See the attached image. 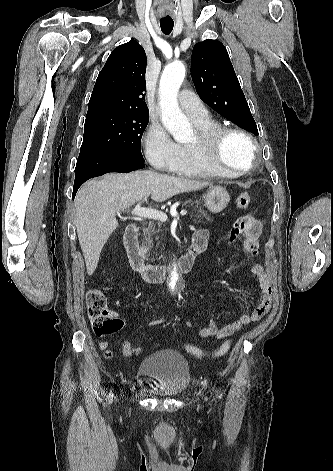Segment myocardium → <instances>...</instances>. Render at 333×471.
Segmentation results:
<instances>
[{"mask_svg":"<svg viewBox=\"0 0 333 471\" xmlns=\"http://www.w3.org/2000/svg\"><path fill=\"white\" fill-rule=\"evenodd\" d=\"M231 135L243 138L251 148V159L245 167H231L221 160L222 145L225 139ZM191 146L211 166L226 174L241 175L247 173L258 162V145L255 139L248 132L236 127L220 125L206 131H200L196 139L191 143Z\"/></svg>","mask_w":333,"mask_h":471,"instance_id":"1","label":"myocardium"}]
</instances>
